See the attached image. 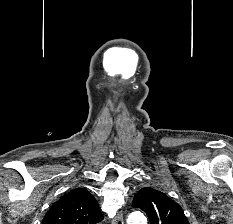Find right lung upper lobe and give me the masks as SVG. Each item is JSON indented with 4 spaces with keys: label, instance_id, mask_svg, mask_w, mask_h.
<instances>
[{
    "label": "right lung upper lobe",
    "instance_id": "right-lung-upper-lobe-1",
    "mask_svg": "<svg viewBox=\"0 0 233 224\" xmlns=\"http://www.w3.org/2000/svg\"><path fill=\"white\" fill-rule=\"evenodd\" d=\"M102 220L96 199L86 189L80 188L56 201L42 224H97Z\"/></svg>",
    "mask_w": 233,
    "mask_h": 224
}]
</instances>
